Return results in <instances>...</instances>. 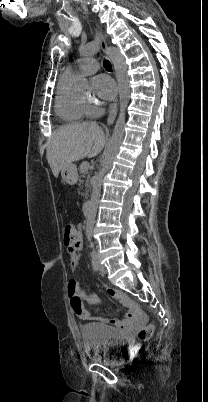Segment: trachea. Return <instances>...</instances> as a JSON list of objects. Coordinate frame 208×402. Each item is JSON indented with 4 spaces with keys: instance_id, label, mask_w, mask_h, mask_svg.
<instances>
[{
    "instance_id": "3493384b",
    "label": "trachea",
    "mask_w": 208,
    "mask_h": 402,
    "mask_svg": "<svg viewBox=\"0 0 208 402\" xmlns=\"http://www.w3.org/2000/svg\"><path fill=\"white\" fill-rule=\"evenodd\" d=\"M104 68L108 70V72H112L111 63L108 60H104L103 62Z\"/></svg>"
}]
</instances>
